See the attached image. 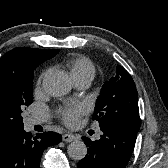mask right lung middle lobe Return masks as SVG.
Returning <instances> with one entry per match:
<instances>
[{
    "label": "right lung middle lobe",
    "instance_id": "right-lung-middle-lobe-1",
    "mask_svg": "<svg viewBox=\"0 0 168 168\" xmlns=\"http://www.w3.org/2000/svg\"><path fill=\"white\" fill-rule=\"evenodd\" d=\"M32 101L33 75L17 81L11 93L0 98V129L9 132L22 128V110Z\"/></svg>",
    "mask_w": 168,
    "mask_h": 168
}]
</instances>
